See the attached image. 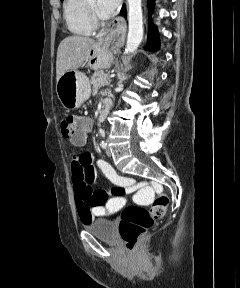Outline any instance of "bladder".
Returning <instances> with one entry per match:
<instances>
[{"mask_svg":"<svg viewBox=\"0 0 240 288\" xmlns=\"http://www.w3.org/2000/svg\"><path fill=\"white\" fill-rule=\"evenodd\" d=\"M85 229L96 238L113 243L116 240L115 223L107 219H98L85 225Z\"/></svg>","mask_w":240,"mask_h":288,"instance_id":"bladder-1","label":"bladder"}]
</instances>
